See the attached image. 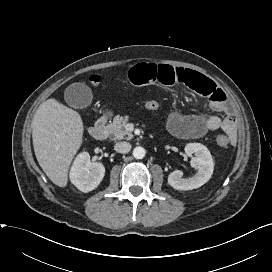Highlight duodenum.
Returning <instances> with one entry per match:
<instances>
[{
    "mask_svg": "<svg viewBox=\"0 0 272 272\" xmlns=\"http://www.w3.org/2000/svg\"><path fill=\"white\" fill-rule=\"evenodd\" d=\"M108 117V114L101 116L94 125L89 127L88 133L95 140L103 141L107 138L106 123Z\"/></svg>",
    "mask_w": 272,
    "mask_h": 272,
    "instance_id": "duodenum-1",
    "label": "duodenum"
}]
</instances>
